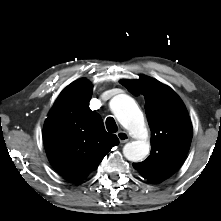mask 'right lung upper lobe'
<instances>
[{"instance_id":"cb5924a9","label":"right lung upper lobe","mask_w":221,"mask_h":221,"mask_svg":"<svg viewBox=\"0 0 221 221\" xmlns=\"http://www.w3.org/2000/svg\"><path fill=\"white\" fill-rule=\"evenodd\" d=\"M92 85L85 78L68 85L58 96L43 128L52 166L66 179L80 181L98 167L116 135L106 132L102 118L89 108Z\"/></svg>"}]
</instances>
